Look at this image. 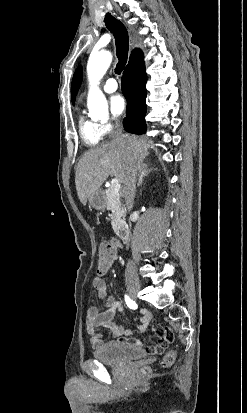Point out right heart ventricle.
Returning a JSON list of instances; mask_svg holds the SVG:
<instances>
[{
	"instance_id": "obj_1",
	"label": "right heart ventricle",
	"mask_w": 247,
	"mask_h": 413,
	"mask_svg": "<svg viewBox=\"0 0 247 413\" xmlns=\"http://www.w3.org/2000/svg\"><path fill=\"white\" fill-rule=\"evenodd\" d=\"M80 136L83 142L91 147V145L99 144V141H101L103 137V133L98 126H95L93 123L82 122L80 125Z\"/></svg>"
}]
</instances>
